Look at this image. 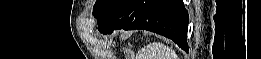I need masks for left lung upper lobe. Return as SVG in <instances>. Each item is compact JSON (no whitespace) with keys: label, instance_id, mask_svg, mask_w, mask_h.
I'll return each mask as SVG.
<instances>
[{"label":"left lung upper lobe","instance_id":"1","mask_svg":"<svg viewBox=\"0 0 261 59\" xmlns=\"http://www.w3.org/2000/svg\"><path fill=\"white\" fill-rule=\"evenodd\" d=\"M120 0H97L94 9L93 15L97 18L98 23L113 9V7Z\"/></svg>","mask_w":261,"mask_h":59}]
</instances>
